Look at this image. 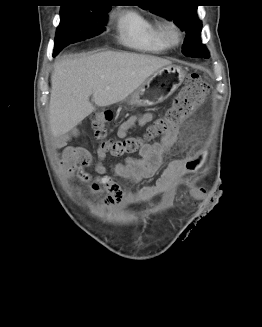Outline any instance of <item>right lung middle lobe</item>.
Masks as SVG:
<instances>
[{"label":"right lung middle lobe","mask_w":262,"mask_h":327,"mask_svg":"<svg viewBox=\"0 0 262 327\" xmlns=\"http://www.w3.org/2000/svg\"><path fill=\"white\" fill-rule=\"evenodd\" d=\"M110 7L88 3L61 7L60 24L56 31L53 56L66 45L99 35L104 31Z\"/></svg>","instance_id":"right-lung-middle-lobe-1"}]
</instances>
